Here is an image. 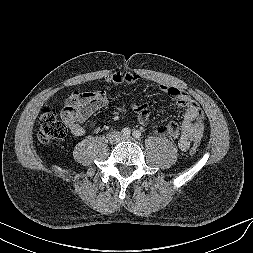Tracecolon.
<instances>
[{
  "label": "colon",
  "mask_w": 253,
  "mask_h": 253,
  "mask_svg": "<svg viewBox=\"0 0 253 253\" xmlns=\"http://www.w3.org/2000/svg\"><path fill=\"white\" fill-rule=\"evenodd\" d=\"M68 125L59 117L56 109L46 108L42 111L39 118L38 139L44 144L51 143L64 137L67 133ZM199 145L193 144L189 150L191 155L197 154Z\"/></svg>",
  "instance_id": "1"
}]
</instances>
